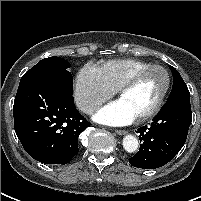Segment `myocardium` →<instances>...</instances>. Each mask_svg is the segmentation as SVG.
<instances>
[{"label":"myocardium","instance_id":"f54148a6","mask_svg":"<svg viewBox=\"0 0 201 201\" xmlns=\"http://www.w3.org/2000/svg\"><path fill=\"white\" fill-rule=\"evenodd\" d=\"M161 70L165 76V84L163 87V90L158 98V100L156 101V103L154 104V106L148 110L147 112L141 114L140 116L136 117L138 121H146L148 119L153 118L154 116H156L159 111L161 110L165 99L168 95V92L170 90V86H171V76L169 71L167 70V68H165L162 65H158V64H154V65H150L146 68H143L137 72H135L133 75H131L130 77H128L118 88L117 90V94L118 97L120 98L123 93L125 91H127L128 89H130L132 86H134L139 80H141L145 75H147L149 72H151L152 70Z\"/></svg>","mask_w":201,"mask_h":201}]
</instances>
